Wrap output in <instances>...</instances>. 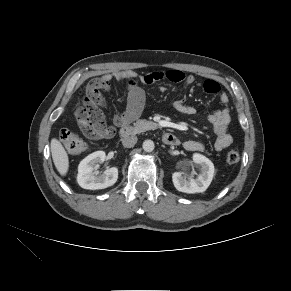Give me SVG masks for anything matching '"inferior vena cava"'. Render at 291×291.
<instances>
[{"mask_svg": "<svg viewBox=\"0 0 291 291\" xmlns=\"http://www.w3.org/2000/svg\"><path fill=\"white\" fill-rule=\"evenodd\" d=\"M137 140H138L137 137L134 135L128 136L122 140V144L124 147L130 148V147H133L137 143Z\"/></svg>", "mask_w": 291, "mask_h": 291, "instance_id": "1", "label": "inferior vena cava"}]
</instances>
